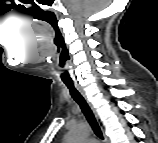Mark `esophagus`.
<instances>
[{
  "label": "esophagus",
  "mask_w": 158,
  "mask_h": 143,
  "mask_svg": "<svg viewBox=\"0 0 158 143\" xmlns=\"http://www.w3.org/2000/svg\"><path fill=\"white\" fill-rule=\"evenodd\" d=\"M75 87H76V89L79 91V93L85 98V100L88 102L89 106H90L91 109L93 110L94 115H95V118H96V120H97V122H98V124H99V126H100V128H101V130H102L104 139H105V141H107V137H106L105 134H104V128H103V125H102V123H101V121H100V119H99V116L97 115V113H96L95 110L93 109V107H92L91 103L89 102V100H88V98H87V96H86V94H85L83 88H82L81 86L77 85V84L75 85Z\"/></svg>",
  "instance_id": "esophagus-1"
}]
</instances>
